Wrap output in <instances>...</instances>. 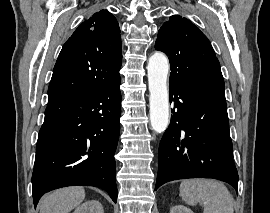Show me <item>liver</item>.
Instances as JSON below:
<instances>
[{"instance_id":"1","label":"liver","mask_w":270,"mask_h":213,"mask_svg":"<svg viewBox=\"0 0 270 213\" xmlns=\"http://www.w3.org/2000/svg\"><path fill=\"white\" fill-rule=\"evenodd\" d=\"M85 198L83 187H68L43 196L39 202L40 213H69Z\"/></svg>"}]
</instances>
